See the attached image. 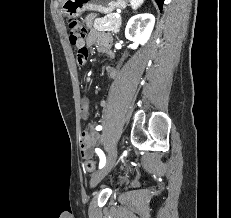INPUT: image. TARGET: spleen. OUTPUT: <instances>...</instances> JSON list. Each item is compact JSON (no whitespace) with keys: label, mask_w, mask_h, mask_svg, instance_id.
Returning a JSON list of instances; mask_svg holds the SVG:
<instances>
[{"label":"spleen","mask_w":231,"mask_h":218,"mask_svg":"<svg viewBox=\"0 0 231 218\" xmlns=\"http://www.w3.org/2000/svg\"><path fill=\"white\" fill-rule=\"evenodd\" d=\"M144 0H130L132 9L136 10L138 7H140L143 4Z\"/></svg>","instance_id":"3e777b00"}]
</instances>
